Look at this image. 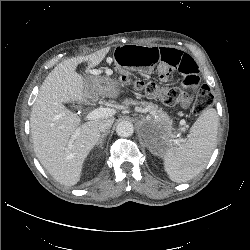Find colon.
Segmentation results:
<instances>
[{"label": "colon", "instance_id": "colon-1", "mask_svg": "<svg viewBox=\"0 0 250 250\" xmlns=\"http://www.w3.org/2000/svg\"><path fill=\"white\" fill-rule=\"evenodd\" d=\"M118 79L122 83L129 84L130 78L128 76H119ZM135 86L144 91L146 94L160 99L167 106L180 105L186 102L187 96L177 87L160 86L154 82H142L138 81ZM214 101V96L211 90L207 86H203L199 92L194 104L193 113L202 114L207 108H209Z\"/></svg>", "mask_w": 250, "mask_h": 250}]
</instances>
